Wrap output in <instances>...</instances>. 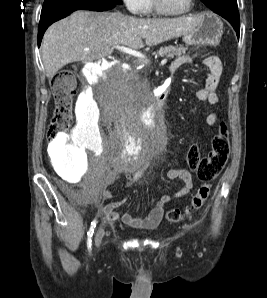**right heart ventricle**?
I'll use <instances>...</instances> for the list:
<instances>
[{"instance_id":"e07e8e85","label":"right heart ventricle","mask_w":267,"mask_h":298,"mask_svg":"<svg viewBox=\"0 0 267 298\" xmlns=\"http://www.w3.org/2000/svg\"><path fill=\"white\" fill-rule=\"evenodd\" d=\"M153 5H152V1L151 0H146V3H145V7H144V13L147 14V15H150L153 13Z\"/></svg>"}]
</instances>
